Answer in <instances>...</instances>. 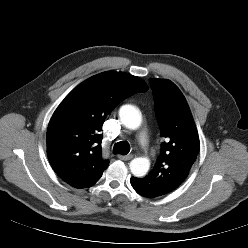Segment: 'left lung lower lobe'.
<instances>
[{
  "mask_svg": "<svg viewBox=\"0 0 248 248\" xmlns=\"http://www.w3.org/2000/svg\"><path fill=\"white\" fill-rule=\"evenodd\" d=\"M131 185L132 187L135 189V191L143 196V197H147V198H155L158 197L156 194H154L150 189H148L146 186L141 185L140 183H138L136 180L133 179V177L131 178Z\"/></svg>",
  "mask_w": 248,
  "mask_h": 248,
  "instance_id": "obj_1",
  "label": "left lung lower lobe"
}]
</instances>
